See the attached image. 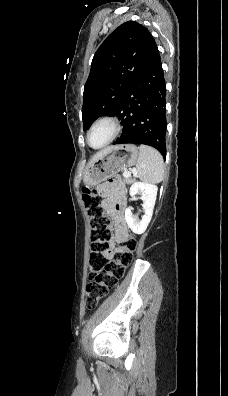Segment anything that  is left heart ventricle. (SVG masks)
Segmentation results:
<instances>
[{
    "instance_id": "obj_1",
    "label": "left heart ventricle",
    "mask_w": 228,
    "mask_h": 396,
    "mask_svg": "<svg viewBox=\"0 0 228 396\" xmlns=\"http://www.w3.org/2000/svg\"><path fill=\"white\" fill-rule=\"evenodd\" d=\"M112 128L107 123L97 125L90 135V144L94 147H100L111 136Z\"/></svg>"
}]
</instances>
